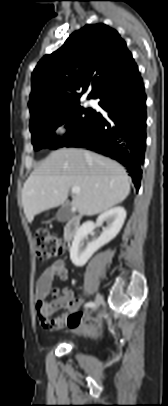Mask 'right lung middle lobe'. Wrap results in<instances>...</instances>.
<instances>
[{
    "label": "right lung middle lobe",
    "instance_id": "obj_1",
    "mask_svg": "<svg viewBox=\"0 0 168 406\" xmlns=\"http://www.w3.org/2000/svg\"><path fill=\"white\" fill-rule=\"evenodd\" d=\"M95 112V110L86 109L81 107L80 103H77L39 121L30 123L34 150L64 147L69 140L90 123ZM66 122V128L68 129L66 135L56 137L53 132L58 126Z\"/></svg>",
    "mask_w": 168,
    "mask_h": 406
}]
</instances>
